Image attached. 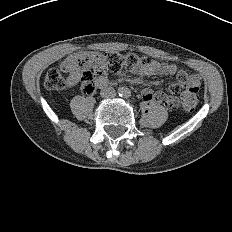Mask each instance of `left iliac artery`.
Returning a JSON list of instances; mask_svg holds the SVG:
<instances>
[{"instance_id":"1","label":"left iliac artery","mask_w":232,"mask_h":232,"mask_svg":"<svg viewBox=\"0 0 232 232\" xmlns=\"http://www.w3.org/2000/svg\"><path fill=\"white\" fill-rule=\"evenodd\" d=\"M126 96H130V92H127V93H126Z\"/></svg>"}]
</instances>
